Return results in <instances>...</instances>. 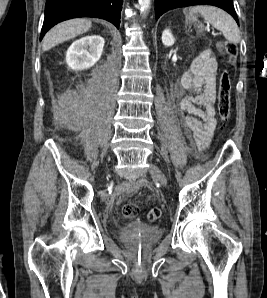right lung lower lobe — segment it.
Wrapping results in <instances>:
<instances>
[{
	"label": "right lung lower lobe",
	"mask_w": 267,
	"mask_h": 298,
	"mask_svg": "<svg viewBox=\"0 0 267 298\" xmlns=\"http://www.w3.org/2000/svg\"><path fill=\"white\" fill-rule=\"evenodd\" d=\"M123 0H47L40 40L54 25L76 17L105 19L119 29Z\"/></svg>",
	"instance_id": "98d812e1"
}]
</instances>
